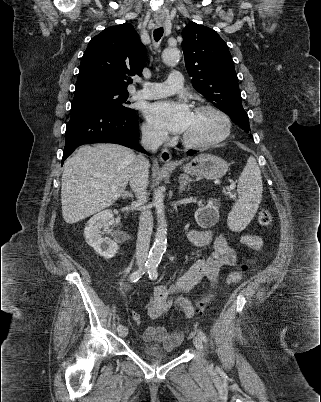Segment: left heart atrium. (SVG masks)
<instances>
[{"mask_svg": "<svg viewBox=\"0 0 321 402\" xmlns=\"http://www.w3.org/2000/svg\"><path fill=\"white\" fill-rule=\"evenodd\" d=\"M191 113L192 111L185 102L175 100L150 103L144 109V115L152 126L173 133L184 132Z\"/></svg>", "mask_w": 321, "mask_h": 402, "instance_id": "left-heart-atrium-1", "label": "left heart atrium"}]
</instances>
